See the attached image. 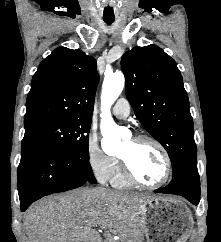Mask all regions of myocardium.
Masks as SVG:
<instances>
[{
    "mask_svg": "<svg viewBox=\"0 0 221 242\" xmlns=\"http://www.w3.org/2000/svg\"><path fill=\"white\" fill-rule=\"evenodd\" d=\"M133 141H135V142H150V143L154 144L159 149V151L161 152V154L164 158L165 171H164L163 177L158 182L149 184V183L142 181L133 172L129 162L127 161V159H125L122 156H119L121 166H122V169H123L125 176L127 177V179L131 183L136 184V185H138L142 188L156 189V188L161 187L162 185H164L169 180L171 172H172V161H171V157H170L169 152L167 151L166 147L155 137L150 136V135H146V134L135 136L133 138Z\"/></svg>",
    "mask_w": 221,
    "mask_h": 242,
    "instance_id": "f54148a6",
    "label": "myocardium"
}]
</instances>
